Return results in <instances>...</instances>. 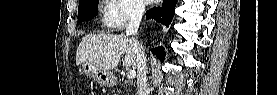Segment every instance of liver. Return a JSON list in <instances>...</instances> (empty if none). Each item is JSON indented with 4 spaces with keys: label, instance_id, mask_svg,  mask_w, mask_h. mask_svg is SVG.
I'll list each match as a JSON object with an SVG mask.
<instances>
[{
    "label": "liver",
    "instance_id": "1",
    "mask_svg": "<svg viewBox=\"0 0 277 95\" xmlns=\"http://www.w3.org/2000/svg\"><path fill=\"white\" fill-rule=\"evenodd\" d=\"M124 53L123 65L136 67L137 54L130 38L124 34H90L82 39L77 48L76 65L90 62L109 71L119 64Z\"/></svg>",
    "mask_w": 277,
    "mask_h": 95
}]
</instances>
